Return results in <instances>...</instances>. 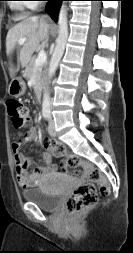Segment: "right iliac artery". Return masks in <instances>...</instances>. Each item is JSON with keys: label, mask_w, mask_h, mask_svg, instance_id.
Segmentation results:
<instances>
[{"label": "right iliac artery", "mask_w": 133, "mask_h": 253, "mask_svg": "<svg viewBox=\"0 0 133 253\" xmlns=\"http://www.w3.org/2000/svg\"><path fill=\"white\" fill-rule=\"evenodd\" d=\"M43 117L48 118L49 117V112L48 111L43 112Z\"/></svg>", "instance_id": "82829eb1"}]
</instances>
